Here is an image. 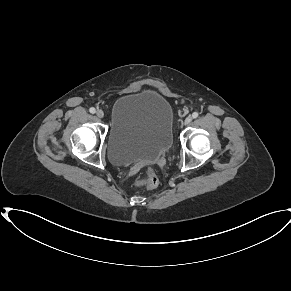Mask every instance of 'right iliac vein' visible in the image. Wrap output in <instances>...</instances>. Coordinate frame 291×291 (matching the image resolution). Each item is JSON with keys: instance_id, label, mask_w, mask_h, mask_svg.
<instances>
[{"instance_id": "right-iliac-vein-1", "label": "right iliac vein", "mask_w": 291, "mask_h": 291, "mask_svg": "<svg viewBox=\"0 0 291 291\" xmlns=\"http://www.w3.org/2000/svg\"><path fill=\"white\" fill-rule=\"evenodd\" d=\"M96 115L98 118H103L104 117V112L101 109H98L96 111Z\"/></svg>"}]
</instances>
